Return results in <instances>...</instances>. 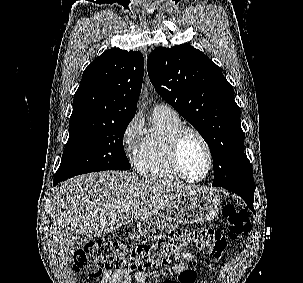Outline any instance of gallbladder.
Wrapping results in <instances>:
<instances>
[{
    "label": "gallbladder",
    "instance_id": "obj_1",
    "mask_svg": "<svg viewBox=\"0 0 303 283\" xmlns=\"http://www.w3.org/2000/svg\"><path fill=\"white\" fill-rule=\"evenodd\" d=\"M89 241L88 237H82L75 243V250L82 249Z\"/></svg>",
    "mask_w": 303,
    "mask_h": 283
}]
</instances>
